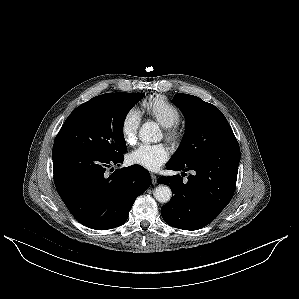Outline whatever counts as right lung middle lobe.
I'll return each mask as SVG.
<instances>
[{
    "instance_id": "right-lung-middle-lobe-1",
    "label": "right lung middle lobe",
    "mask_w": 299,
    "mask_h": 299,
    "mask_svg": "<svg viewBox=\"0 0 299 299\" xmlns=\"http://www.w3.org/2000/svg\"><path fill=\"white\" fill-rule=\"evenodd\" d=\"M145 94L106 93L78 106L66 119L53 147L71 146L106 157L127 151L123 124Z\"/></svg>"
}]
</instances>
